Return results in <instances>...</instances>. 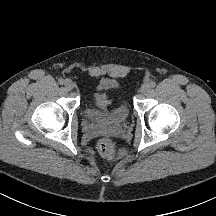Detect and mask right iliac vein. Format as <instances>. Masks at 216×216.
I'll return each mask as SVG.
<instances>
[{
    "label": "right iliac vein",
    "instance_id": "obj_1",
    "mask_svg": "<svg viewBox=\"0 0 216 216\" xmlns=\"http://www.w3.org/2000/svg\"><path fill=\"white\" fill-rule=\"evenodd\" d=\"M64 86L65 88L70 91L74 88V84L71 80L67 79L65 82H64Z\"/></svg>",
    "mask_w": 216,
    "mask_h": 216
}]
</instances>
